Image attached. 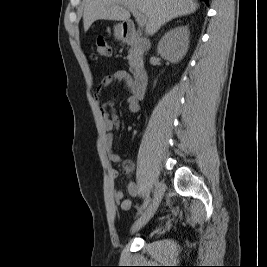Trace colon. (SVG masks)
<instances>
[{"instance_id": "colon-1", "label": "colon", "mask_w": 267, "mask_h": 267, "mask_svg": "<svg viewBox=\"0 0 267 267\" xmlns=\"http://www.w3.org/2000/svg\"><path fill=\"white\" fill-rule=\"evenodd\" d=\"M111 47L108 42L100 37L96 40L95 43V55L97 57H108L111 54Z\"/></svg>"}]
</instances>
